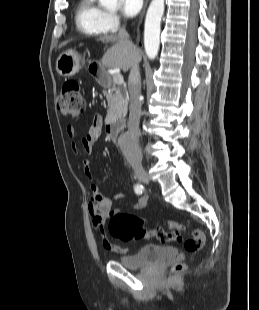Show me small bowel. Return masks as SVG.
<instances>
[{"instance_id":"c3829d8e","label":"small bowel","mask_w":259,"mask_h":310,"mask_svg":"<svg viewBox=\"0 0 259 310\" xmlns=\"http://www.w3.org/2000/svg\"><path fill=\"white\" fill-rule=\"evenodd\" d=\"M103 127V119L101 115L96 114L93 116L86 133L82 136L80 145L85 153L88 155L83 161V173L89 180V187L91 191L88 211L92 218L93 226L100 238L101 244L106 249H109L117 254H126L127 248L121 247L118 244L112 242L107 235L105 222L107 218L111 217L117 212L114 209L113 198L106 196L99 191V186L94 180L93 172L91 169V158L95 148L96 141L98 140ZM67 136L71 139L75 138L76 132L72 126H68L66 129ZM80 145L76 142L71 144V150L74 153H78ZM149 199L147 196H142L133 205L135 210H142L148 205Z\"/></svg>"}]
</instances>
